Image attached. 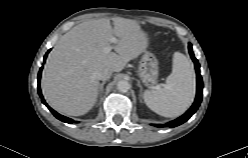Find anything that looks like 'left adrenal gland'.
I'll list each match as a JSON object with an SVG mask.
<instances>
[{
	"label": "left adrenal gland",
	"mask_w": 248,
	"mask_h": 158,
	"mask_svg": "<svg viewBox=\"0 0 248 158\" xmlns=\"http://www.w3.org/2000/svg\"><path fill=\"white\" fill-rule=\"evenodd\" d=\"M137 86L140 88V95L139 98L141 97V92H142V86L140 84V82L138 81ZM140 102H142V100L140 99Z\"/></svg>",
	"instance_id": "a2214340"
}]
</instances>
